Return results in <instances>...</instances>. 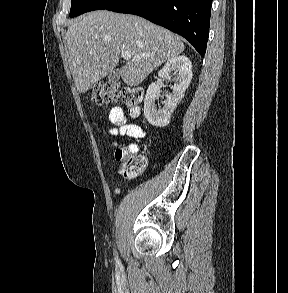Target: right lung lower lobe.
Masks as SVG:
<instances>
[{
	"mask_svg": "<svg viewBox=\"0 0 288 293\" xmlns=\"http://www.w3.org/2000/svg\"><path fill=\"white\" fill-rule=\"evenodd\" d=\"M212 0H119L107 10L135 14L187 39L206 52Z\"/></svg>",
	"mask_w": 288,
	"mask_h": 293,
	"instance_id": "right-lung-lower-lobe-1",
	"label": "right lung lower lobe"
}]
</instances>
